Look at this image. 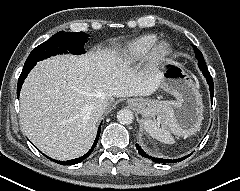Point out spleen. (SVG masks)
<instances>
[{
	"label": "spleen",
	"mask_w": 240,
	"mask_h": 191,
	"mask_svg": "<svg viewBox=\"0 0 240 191\" xmlns=\"http://www.w3.org/2000/svg\"><path fill=\"white\" fill-rule=\"evenodd\" d=\"M145 130L152 137L165 144H174V138L171 132L178 135L172 128L169 121L162 115H158L157 118H149L144 122ZM188 136V135H186Z\"/></svg>",
	"instance_id": "3e777b00"
}]
</instances>
